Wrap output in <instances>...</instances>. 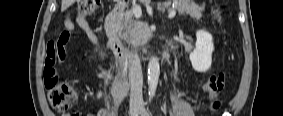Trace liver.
<instances>
[{"label": "liver", "instance_id": "liver-1", "mask_svg": "<svg viewBox=\"0 0 283 116\" xmlns=\"http://www.w3.org/2000/svg\"><path fill=\"white\" fill-rule=\"evenodd\" d=\"M75 0H62L61 11H65L68 7H70Z\"/></svg>", "mask_w": 283, "mask_h": 116}]
</instances>
